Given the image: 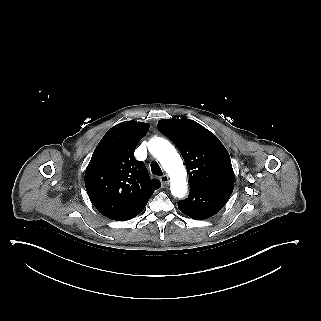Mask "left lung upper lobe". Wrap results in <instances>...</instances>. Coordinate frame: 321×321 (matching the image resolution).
<instances>
[{"label":"left lung upper lobe","instance_id":"obj_1","mask_svg":"<svg viewBox=\"0 0 321 321\" xmlns=\"http://www.w3.org/2000/svg\"><path fill=\"white\" fill-rule=\"evenodd\" d=\"M157 127L180 150L191 188L234 185L229 153L209 130L190 119H162Z\"/></svg>","mask_w":321,"mask_h":321}]
</instances>
